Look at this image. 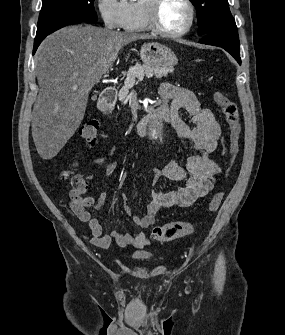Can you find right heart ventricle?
<instances>
[{
	"label": "right heart ventricle",
	"instance_id": "e07e8e85",
	"mask_svg": "<svg viewBox=\"0 0 285 335\" xmlns=\"http://www.w3.org/2000/svg\"><path fill=\"white\" fill-rule=\"evenodd\" d=\"M131 10L132 14L127 17L124 27L128 31L143 32L150 29L148 22V1H129L125 3ZM162 60H172L171 58H163Z\"/></svg>",
	"mask_w": 285,
	"mask_h": 335
}]
</instances>
